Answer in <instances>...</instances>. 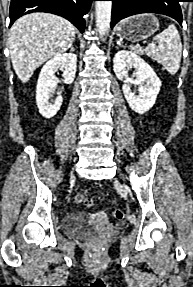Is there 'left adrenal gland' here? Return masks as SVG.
Returning a JSON list of instances; mask_svg holds the SVG:
<instances>
[{"label":"left adrenal gland","mask_w":193,"mask_h":287,"mask_svg":"<svg viewBox=\"0 0 193 287\" xmlns=\"http://www.w3.org/2000/svg\"><path fill=\"white\" fill-rule=\"evenodd\" d=\"M117 45H119V46L121 45L120 41L117 42Z\"/></svg>","instance_id":"1"}]
</instances>
